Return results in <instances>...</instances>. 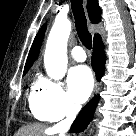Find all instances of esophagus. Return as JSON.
<instances>
[{
  "mask_svg": "<svg viewBox=\"0 0 136 136\" xmlns=\"http://www.w3.org/2000/svg\"><path fill=\"white\" fill-rule=\"evenodd\" d=\"M83 2H84L85 11H86L87 0H83ZM86 15H87V12H86ZM87 18H88V15H87ZM99 88H100V84L97 82L95 91L97 92Z\"/></svg>",
  "mask_w": 136,
  "mask_h": 136,
  "instance_id": "34e87169",
  "label": "esophagus"
}]
</instances>
